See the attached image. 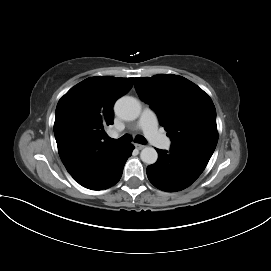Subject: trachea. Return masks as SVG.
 <instances>
[{
	"label": "trachea",
	"mask_w": 271,
	"mask_h": 271,
	"mask_svg": "<svg viewBox=\"0 0 271 271\" xmlns=\"http://www.w3.org/2000/svg\"><path fill=\"white\" fill-rule=\"evenodd\" d=\"M111 142H115V143H120V144H124V143H129L132 141V137L128 134L122 136L121 138L119 139H110ZM135 142L137 143H140V144H146V139L141 136V135H138L135 137Z\"/></svg>",
	"instance_id": "1"
}]
</instances>
